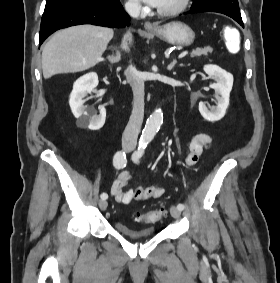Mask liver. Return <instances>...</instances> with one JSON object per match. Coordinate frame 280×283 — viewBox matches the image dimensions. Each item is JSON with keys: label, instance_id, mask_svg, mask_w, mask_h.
<instances>
[{"label": "liver", "instance_id": "1", "mask_svg": "<svg viewBox=\"0 0 280 283\" xmlns=\"http://www.w3.org/2000/svg\"><path fill=\"white\" fill-rule=\"evenodd\" d=\"M114 31L93 25H79L58 31L42 51L44 78L59 73H74L89 69L103 61L102 55ZM132 41V35L129 34Z\"/></svg>", "mask_w": 280, "mask_h": 283}]
</instances>
